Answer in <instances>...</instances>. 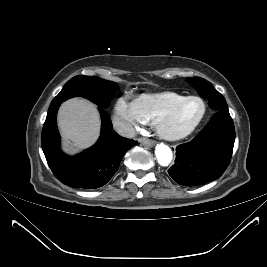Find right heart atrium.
Segmentation results:
<instances>
[{"label":"right heart atrium","mask_w":267,"mask_h":267,"mask_svg":"<svg viewBox=\"0 0 267 267\" xmlns=\"http://www.w3.org/2000/svg\"><path fill=\"white\" fill-rule=\"evenodd\" d=\"M114 122L118 130L125 135H131L138 127L147 124L136 100H130L127 96L117 99L114 106Z\"/></svg>","instance_id":"d8ad5b80"}]
</instances>
